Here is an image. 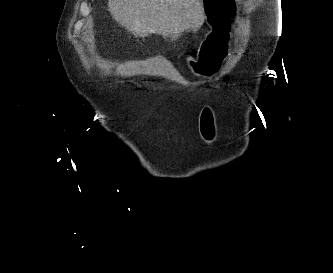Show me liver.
<instances>
[{
	"instance_id": "6515ba94",
	"label": "liver",
	"mask_w": 333,
	"mask_h": 273,
	"mask_svg": "<svg viewBox=\"0 0 333 273\" xmlns=\"http://www.w3.org/2000/svg\"><path fill=\"white\" fill-rule=\"evenodd\" d=\"M113 19L135 36L196 32L205 20L203 0H109Z\"/></svg>"
}]
</instances>
